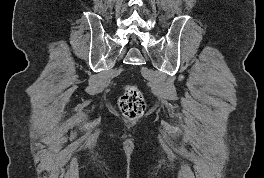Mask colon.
Listing matches in <instances>:
<instances>
[{"mask_svg": "<svg viewBox=\"0 0 264 178\" xmlns=\"http://www.w3.org/2000/svg\"><path fill=\"white\" fill-rule=\"evenodd\" d=\"M119 106L123 114L129 119L140 117L146 109L144 97L135 86L126 87L119 99Z\"/></svg>", "mask_w": 264, "mask_h": 178, "instance_id": "obj_1", "label": "colon"}]
</instances>
